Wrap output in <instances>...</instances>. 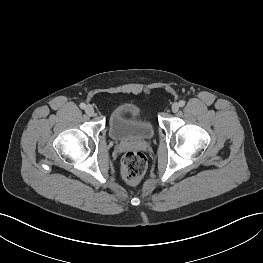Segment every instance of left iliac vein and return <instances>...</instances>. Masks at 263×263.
<instances>
[{
	"label": "left iliac vein",
	"instance_id": "obj_1",
	"mask_svg": "<svg viewBox=\"0 0 263 263\" xmlns=\"http://www.w3.org/2000/svg\"><path fill=\"white\" fill-rule=\"evenodd\" d=\"M179 104L178 103H174L173 105H172V107H171V109H172V111L174 112V113H177L178 111H179Z\"/></svg>",
	"mask_w": 263,
	"mask_h": 263
}]
</instances>
